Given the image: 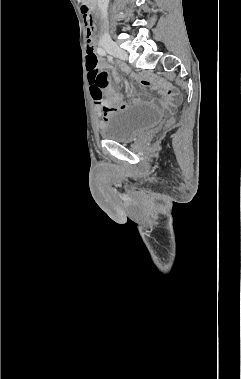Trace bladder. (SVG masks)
<instances>
[{"label":"bladder","instance_id":"bladder-1","mask_svg":"<svg viewBox=\"0 0 241 379\" xmlns=\"http://www.w3.org/2000/svg\"><path fill=\"white\" fill-rule=\"evenodd\" d=\"M162 112L149 105H134L113 112L100 127L102 138L118 143H128L154 127L162 120Z\"/></svg>","mask_w":241,"mask_h":379}]
</instances>
